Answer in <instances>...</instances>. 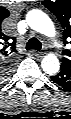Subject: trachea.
I'll return each mask as SVG.
<instances>
[{"label": "trachea", "mask_w": 71, "mask_h": 119, "mask_svg": "<svg viewBox=\"0 0 71 119\" xmlns=\"http://www.w3.org/2000/svg\"><path fill=\"white\" fill-rule=\"evenodd\" d=\"M41 47H42V44L37 38L29 39V41L26 44V49L27 50L34 49V50L39 51L41 49Z\"/></svg>", "instance_id": "3493384b"}]
</instances>
